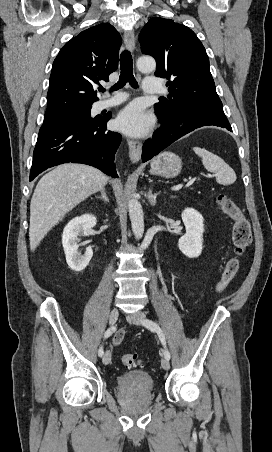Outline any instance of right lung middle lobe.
Returning a JSON list of instances; mask_svg holds the SVG:
<instances>
[{"label": "right lung middle lobe", "mask_w": 272, "mask_h": 452, "mask_svg": "<svg viewBox=\"0 0 272 452\" xmlns=\"http://www.w3.org/2000/svg\"><path fill=\"white\" fill-rule=\"evenodd\" d=\"M91 107L92 106H88V107L74 109V110H70V111H66V112H62V113H58V114L45 115L44 118H49V117H73V118L83 117L85 119L92 120V118L90 116V109H91Z\"/></svg>", "instance_id": "1"}]
</instances>
